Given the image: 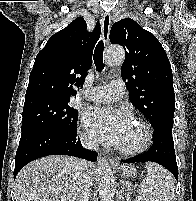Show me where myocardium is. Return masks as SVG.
Masks as SVG:
<instances>
[{
	"mask_svg": "<svg viewBox=\"0 0 196 201\" xmlns=\"http://www.w3.org/2000/svg\"><path fill=\"white\" fill-rule=\"evenodd\" d=\"M135 123L140 127L142 131V138L140 143L130 149L122 148L120 146L116 147L118 152L125 156H135L141 154L142 152L147 150L152 142V128L150 124L141 119H138Z\"/></svg>",
	"mask_w": 196,
	"mask_h": 201,
	"instance_id": "myocardium-1",
	"label": "myocardium"
}]
</instances>
